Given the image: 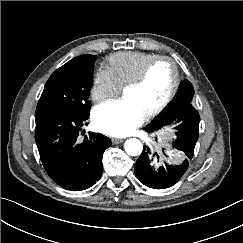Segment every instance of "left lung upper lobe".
<instances>
[{
  "instance_id": "1",
  "label": "left lung upper lobe",
  "mask_w": 243,
  "mask_h": 243,
  "mask_svg": "<svg viewBox=\"0 0 243 243\" xmlns=\"http://www.w3.org/2000/svg\"><path fill=\"white\" fill-rule=\"evenodd\" d=\"M193 96H194V88H193L191 82H189L186 79L181 83L174 102L169 106V108L161 116H159L158 118L153 120V122L151 124L157 123V125L159 127L165 126L168 122V118L173 117L175 119V116H172V115L177 114L176 113L177 106L182 105V104L191 103ZM180 121H184V118H181Z\"/></svg>"
}]
</instances>
